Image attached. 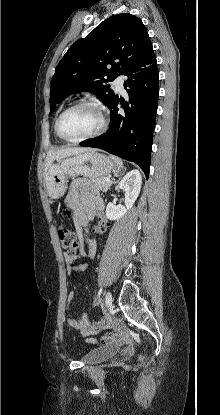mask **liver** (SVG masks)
Segmentation results:
<instances>
[{
	"label": "liver",
	"instance_id": "6515ba94",
	"mask_svg": "<svg viewBox=\"0 0 220 415\" xmlns=\"http://www.w3.org/2000/svg\"><path fill=\"white\" fill-rule=\"evenodd\" d=\"M89 150L91 149L82 147L51 150L47 153L45 170L47 171L52 166L53 161L56 159H63Z\"/></svg>",
	"mask_w": 220,
	"mask_h": 415
}]
</instances>
